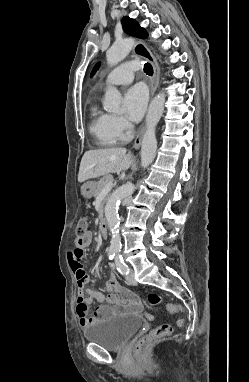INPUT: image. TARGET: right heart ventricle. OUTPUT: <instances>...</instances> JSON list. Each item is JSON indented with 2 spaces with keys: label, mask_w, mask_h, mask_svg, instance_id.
Here are the masks:
<instances>
[{
  "label": "right heart ventricle",
  "mask_w": 249,
  "mask_h": 382,
  "mask_svg": "<svg viewBox=\"0 0 249 382\" xmlns=\"http://www.w3.org/2000/svg\"><path fill=\"white\" fill-rule=\"evenodd\" d=\"M90 116V129L97 141L103 146L115 144L117 138L111 133L109 127L110 114L100 110L97 104L94 103L90 107Z\"/></svg>",
  "instance_id": "right-heart-ventricle-1"
}]
</instances>
